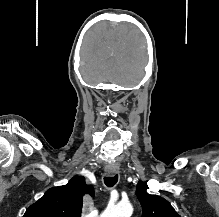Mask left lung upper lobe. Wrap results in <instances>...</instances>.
<instances>
[{
    "label": "left lung upper lobe",
    "instance_id": "1",
    "mask_svg": "<svg viewBox=\"0 0 219 217\" xmlns=\"http://www.w3.org/2000/svg\"><path fill=\"white\" fill-rule=\"evenodd\" d=\"M137 197L142 205V217H180L167 200L148 194L142 182L137 185Z\"/></svg>",
    "mask_w": 219,
    "mask_h": 217
}]
</instances>
